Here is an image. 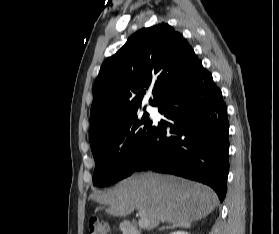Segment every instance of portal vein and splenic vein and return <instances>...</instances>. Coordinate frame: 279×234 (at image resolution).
Returning <instances> with one entry per match:
<instances>
[{"label": "portal vein and splenic vein", "instance_id": "obj_1", "mask_svg": "<svg viewBox=\"0 0 279 234\" xmlns=\"http://www.w3.org/2000/svg\"><path fill=\"white\" fill-rule=\"evenodd\" d=\"M139 214H140V219H139V221H138L139 227H141V228L147 227L148 224H149V221H148L147 216H146L145 213L142 212V211H140Z\"/></svg>", "mask_w": 279, "mask_h": 234}]
</instances>
